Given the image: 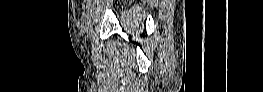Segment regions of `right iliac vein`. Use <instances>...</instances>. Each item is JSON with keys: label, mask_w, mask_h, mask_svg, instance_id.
I'll return each instance as SVG.
<instances>
[{"label": "right iliac vein", "mask_w": 263, "mask_h": 92, "mask_svg": "<svg viewBox=\"0 0 263 92\" xmlns=\"http://www.w3.org/2000/svg\"><path fill=\"white\" fill-rule=\"evenodd\" d=\"M96 15V9L94 7L91 8L90 14L88 15V25H86V34L88 37L92 35V21L93 17Z\"/></svg>", "instance_id": "right-iliac-vein-1"}]
</instances>
